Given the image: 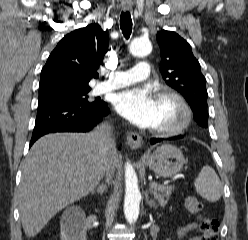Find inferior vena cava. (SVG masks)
Instances as JSON below:
<instances>
[{"label": "inferior vena cava", "instance_id": "inferior-vena-cava-1", "mask_svg": "<svg viewBox=\"0 0 248 240\" xmlns=\"http://www.w3.org/2000/svg\"><path fill=\"white\" fill-rule=\"evenodd\" d=\"M106 131V140L109 144L110 150L115 151V144L114 139L112 138V131L107 127L105 129ZM105 171H106V179L109 182L110 178L114 175L115 171V165L113 163V160L111 157H107L106 163H105Z\"/></svg>", "mask_w": 248, "mask_h": 240}]
</instances>
